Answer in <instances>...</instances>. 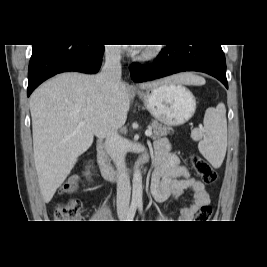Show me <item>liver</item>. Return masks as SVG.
Instances as JSON below:
<instances>
[{
	"mask_svg": "<svg viewBox=\"0 0 267 267\" xmlns=\"http://www.w3.org/2000/svg\"><path fill=\"white\" fill-rule=\"evenodd\" d=\"M169 82L206 83L204 78L186 72L160 82L142 83L140 88L149 89ZM129 107L126 85L120 82L118 86L108 88L98 75L64 73L32 93L34 161L44 202L51 201L78 157L92 145L94 136L106 137L112 128L125 124ZM81 121H85L83 126H79Z\"/></svg>",
	"mask_w": 267,
	"mask_h": 267,
	"instance_id": "obj_1",
	"label": "liver"
}]
</instances>
